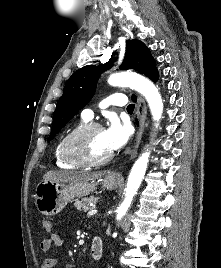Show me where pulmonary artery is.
<instances>
[{"label": "pulmonary artery", "mask_w": 221, "mask_h": 268, "mask_svg": "<svg viewBox=\"0 0 221 268\" xmlns=\"http://www.w3.org/2000/svg\"><path fill=\"white\" fill-rule=\"evenodd\" d=\"M127 103V98L124 94L114 93L106 98L102 103V107L109 105L113 106H124ZM82 117L86 120H91L94 117V112L91 109H84L82 111Z\"/></svg>", "instance_id": "e3ab8cb5"}]
</instances>
